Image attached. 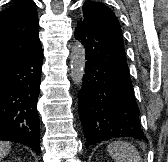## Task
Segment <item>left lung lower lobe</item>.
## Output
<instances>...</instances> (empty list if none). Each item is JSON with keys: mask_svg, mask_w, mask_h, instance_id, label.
Here are the masks:
<instances>
[{"mask_svg": "<svg viewBox=\"0 0 168 162\" xmlns=\"http://www.w3.org/2000/svg\"><path fill=\"white\" fill-rule=\"evenodd\" d=\"M75 37L84 45L87 60L78 102L86 147L114 137L147 140L124 43L87 19H79Z\"/></svg>", "mask_w": 168, "mask_h": 162, "instance_id": "obj_1", "label": "left lung lower lobe"}]
</instances>
